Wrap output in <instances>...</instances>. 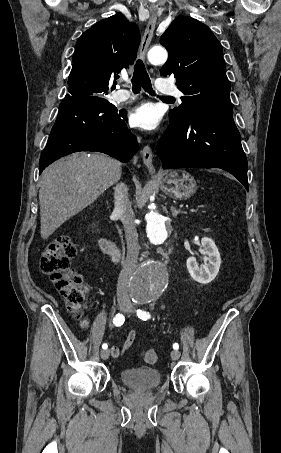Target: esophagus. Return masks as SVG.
Listing matches in <instances>:
<instances>
[{
    "label": "esophagus",
    "mask_w": 281,
    "mask_h": 453,
    "mask_svg": "<svg viewBox=\"0 0 281 453\" xmlns=\"http://www.w3.org/2000/svg\"><path fill=\"white\" fill-rule=\"evenodd\" d=\"M156 19H157V10L156 9H150V18L148 20V24L146 26L143 38H142V43L140 47V58L142 60H145L146 58V52L148 50V47L150 45V42L153 38L154 35V30H155V25H156ZM143 162L147 166L149 172L151 174L155 173V169L153 167V153L151 148L146 145L143 150L141 151Z\"/></svg>",
    "instance_id": "obj_1"
}]
</instances>
